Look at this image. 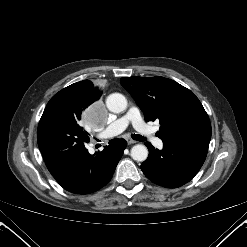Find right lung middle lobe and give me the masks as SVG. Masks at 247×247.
<instances>
[{
    "mask_svg": "<svg viewBox=\"0 0 247 247\" xmlns=\"http://www.w3.org/2000/svg\"><path fill=\"white\" fill-rule=\"evenodd\" d=\"M96 100L98 99H91L64 88L51 98L43 114H54L79 122L83 109L91 106Z\"/></svg>",
    "mask_w": 247,
    "mask_h": 247,
    "instance_id": "1",
    "label": "right lung middle lobe"
}]
</instances>
